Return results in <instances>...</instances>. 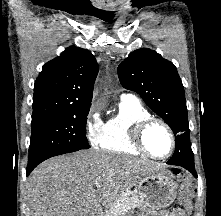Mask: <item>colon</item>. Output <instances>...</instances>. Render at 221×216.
<instances>
[{"label":"colon","mask_w":221,"mask_h":216,"mask_svg":"<svg viewBox=\"0 0 221 216\" xmlns=\"http://www.w3.org/2000/svg\"><path fill=\"white\" fill-rule=\"evenodd\" d=\"M179 178L182 181L180 189V201L184 206H186L191 203V185L187 175L184 172L179 173Z\"/></svg>","instance_id":"5ec220e1"}]
</instances>
